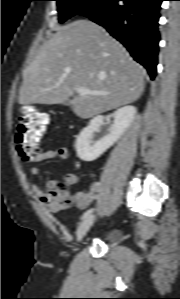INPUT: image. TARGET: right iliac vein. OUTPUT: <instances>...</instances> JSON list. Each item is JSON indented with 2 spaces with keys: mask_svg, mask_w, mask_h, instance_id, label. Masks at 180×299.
Wrapping results in <instances>:
<instances>
[{
  "mask_svg": "<svg viewBox=\"0 0 180 299\" xmlns=\"http://www.w3.org/2000/svg\"><path fill=\"white\" fill-rule=\"evenodd\" d=\"M95 220L94 215L86 217L78 226L76 231V241L80 242L89 231Z\"/></svg>",
  "mask_w": 180,
  "mask_h": 299,
  "instance_id": "obj_1",
  "label": "right iliac vein"
}]
</instances>
